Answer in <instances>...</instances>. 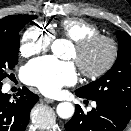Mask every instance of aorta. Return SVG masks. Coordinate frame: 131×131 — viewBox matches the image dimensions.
Segmentation results:
<instances>
[{"instance_id": "1", "label": "aorta", "mask_w": 131, "mask_h": 131, "mask_svg": "<svg viewBox=\"0 0 131 131\" xmlns=\"http://www.w3.org/2000/svg\"><path fill=\"white\" fill-rule=\"evenodd\" d=\"M66 40L58 39L55 40L51 45V50L57 57H63L66 51ZM57 114L62 119H68L74 114V106L69 102L59 103L56 108Z\"/></svg>"}]
</instances>
